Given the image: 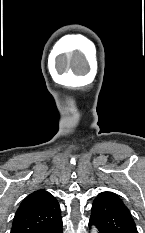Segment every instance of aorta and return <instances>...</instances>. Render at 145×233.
<instances>
[{
  "label": "aorta",
  "instance_id": "obj_1",
  "mask_svg": "<svg viewBox=\"0 0 145 233\" xmlns=\"http://www.w3.org/2000/svg\"><path fill=\"white\" fill-rule=\"evenodd\" d=\"M91 233H97V229L95 227L92 228Z\"/></svg>",
  "mask_w": 145,
  "mask_h": 233
}]
</instances>
